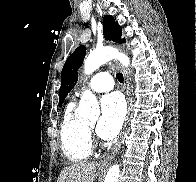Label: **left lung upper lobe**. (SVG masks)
Listing matches in <instances>:
<instances>
[{
    "instance_id": "5c2ea615",
    "label": "left lung upper lobe",
    "mask_w": 196,
    "mask_h": 182,
    "mask_svg": "<svg viewBox=\"0 0 196 182\" xmlns=\"http://www.w3.org/2000/svg\"><path fill=\"white\" fill-rule=\"evenodd\" d=\"M103 34L107 40L116 43H124L121 39L122 29L112 16L103 17ZM86 55V48L79 46L66 60L61 73L60 106L67 94L73 89L78 81V69L82 65Z\"/></svg>"
}]
</instances>
